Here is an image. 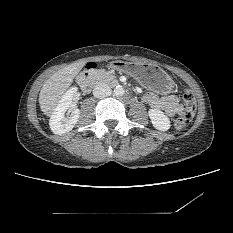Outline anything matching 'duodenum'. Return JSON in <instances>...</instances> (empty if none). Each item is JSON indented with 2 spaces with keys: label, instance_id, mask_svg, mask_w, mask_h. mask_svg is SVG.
Instances as JSON below:
<instances>
[{
  "label": "duodenum",
  "instance_id": "obj_1",
  "mask_svg": "<svg viewBox=\"0 0 233 233\" xmlns=\"http://www.w3.org/2000/svg\"><path fill=\"white\" fill-rule=\"evenodd\" d=\"M93 69H87L84 70L81 75L79 76V84L85 89L89 90L93 87V85L96 83V79L92 75ZM121 82L117 81L116 84H119Z\"/></svg>",
  "mask_w": 233,
  "mask_h": 233
}]
</instances>
